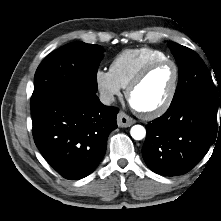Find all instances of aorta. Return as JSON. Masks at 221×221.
<instances>
[{
    "instance_id": "762f6f07",
    "label": "aorta",
    "mask_w": 221,
    "mask_h": 221,
    "mask_svg": "<svg viewBox=\"0 0 221 221\" xmlns=\"http://www.w3.org/2000/svg\"><path fill=\"white\" fill-rule=\"evenodd\" d=\"M130 134L133 139L142 140L146 136V130L142 125H134L130 130Z\"/></svg>"
}]
</instances>
